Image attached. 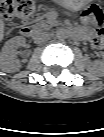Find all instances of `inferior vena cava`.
Segmentation results:
<instances>
[{
  "label": "inferior vena cava",
  "instance_id": "1",
  "mask_svg": "<svg viewBox=\"0 0 104 137\" xmlns=\"http://www.w3.org/2000/svg\"><path fill=\"white\" fill-rule=\"evenodd\" d=\"M48 37V34L46 32H37L34 36V42L37 44H40L44 42Z\"/></svg>",
  "mask_w": 104,
  "mask_h": 137
}]
</instances>
